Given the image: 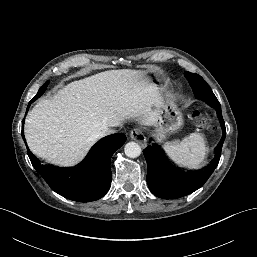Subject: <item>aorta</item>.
Wrapping results in <instances>:
<instances>
[{
  "label": "aorta",
  "mask_w": 257,
  "mask_h": 257,
  "mask_svg": "<svg viewBox=\"0 0 257 257\" xmlns=\"http://www.w3.org/2000/svg\"><path fill=\"white\" fill-rule=\"evenodd\" d=\"M124 152L129 158H136L141 154V147L136 142H128L124 147Z\"/></svg>",
  "instance_id": "aorta-1"
}]
</instances>
